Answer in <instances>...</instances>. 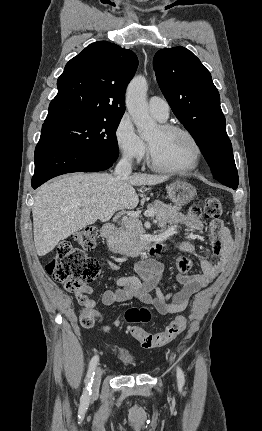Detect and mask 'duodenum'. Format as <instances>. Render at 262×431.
Here are the masks:
<instances>
[{
	"label": "duodenum",
	"instance_id": "duodenum-1",
	"mask_svg": "<svg viewBox=\"0 0 262 431\" xmlns=\"http://www.w3.org/2000/svg\"><path fill=\"white\" fill-rule=\"evenodd\" d=\"M101 235L107 242L109 248H114L117 243L116 227L111 223H105L101 227Z\"/></svg>",
	"mask_w": 262,
	"mask_h": 431
}]
</instances>
